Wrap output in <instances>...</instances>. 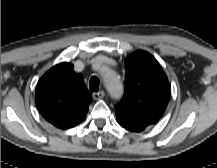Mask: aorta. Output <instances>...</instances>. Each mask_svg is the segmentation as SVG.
<instances>
[{"instance_id":"aorta-1","label":"aorta","mask_w":217,"mask_h":168,"mask_svg":"<svg viewBox=\"0 0 217 168\" xmlns=\"http://www.w3.org/2000/svg\"><path fill=\"white\" fill-rule=\"evenodd\" d=\"M104 84L113 98H119L122 95V84L117 75L112 71H107L103 74Z\"/></svg>"}]
</instances>
